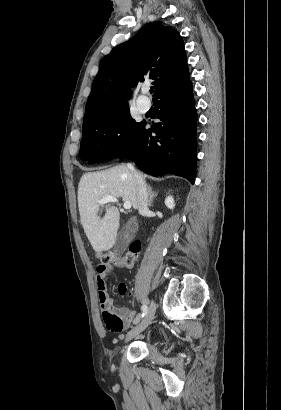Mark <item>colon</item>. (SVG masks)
<instances>
[{
  "label": "colon",
  "mask_w": 281,
  "mask_h": 410,
  "mask_svg": "<svg viewBox=\"0 0 281 410\" xmlns=\"http://www.w3.org/2000/svg\"><path fill=\"white\" fill-rule=\"evenodd\" d=\"M140 251L141 244L139 242H135L131 245L129 252L124 256L113 252H100L98 257L104 264H109L116 267H133L138 259ZM103 318L106 327L112 331L120 329L123 325L122 319L112 312L104 311Z\"/></svg>",
  "instance_id": "5ec220e1"
}]
</instances>
